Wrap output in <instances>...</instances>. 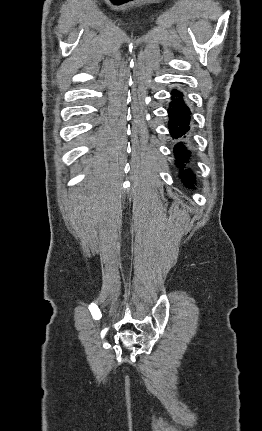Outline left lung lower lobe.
Returning <instances> with one entry per match:
<instances>
[{
    "instance_id": "obj_1",
    "label": "left lung lower lobe",
    "mask_w": 262,
    "mask_h": 431,
    "mask_svg": "<svg viewBox=\"0 0 262 431\" xmlns=\"http://www.w3.org/2000/svg\"><path fill=\"white\" fill-rule=\"evenodd\" d=\"M172 101L170 103L169 114V130L173 139L176 140L174 146L175 164L179 168V177L188 188H192L195 184V174L191 166V151L190 144V123L191 112L183 100V94L178 91H172Z\"/></svg>"
}]
</instances>
